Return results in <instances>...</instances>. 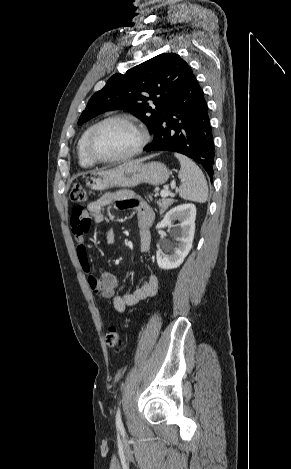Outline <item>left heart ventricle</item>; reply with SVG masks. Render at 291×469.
I'll use <instances>...</instances> for the list:
<instances>
[{
  "label": "left heart ventricle",
  "instance_id": "b2bd125f",
  "mask_svg": "<svg viewBox=\"0 0 291 469\" xmlns=\"http://www.w3.org/2000/svg\"><path fill=\"white\" fill-rule=\"evenodd\" d=\"M138 132L129 124L114 121L102 126L93 140V149L104 158L117 157L130 152L139 142Z\"/></svg>",
  "mask_w": 291,
  "mask_h": 469
}]
</instances>
